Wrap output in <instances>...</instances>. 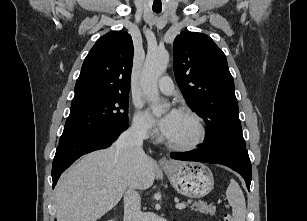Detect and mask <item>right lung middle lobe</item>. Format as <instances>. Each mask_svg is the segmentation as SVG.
<instances>
[{
  "label": "right lung middle lobe",
  "instance_id": "dd1d6c3e",
  "mask_svg": "<svg viewBox=\"0 0 307 221\" xmlns=\"http://www.w3.org/2000/svg\"><path fill=\"white\" fill-rule=\"evenodd\" d=\"M128 124V93L72 102L59 143Z\"/></svg>",
  "mask_w": 307,
  "mask_h": 221
}]
</instances>
